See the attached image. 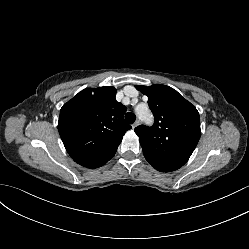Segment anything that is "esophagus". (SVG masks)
Listing matches in <instances>:
<instances>
[{
	"label": "esophagus",
	"instance_id": "esophagus-1",
	"mask_svg": "<svg viewBox=\"0 0 249 249\" xmlns=\"http://www.w3.org/2000/svg\"><path fill=\"white\" fill-rule=\"evenodd\" d=\"M139 124V120H136L135 123L132 125V128L135 129Z\"/></svg>",
	"mask_w": 249,
	"mask_h": 249
}]
</instances>
